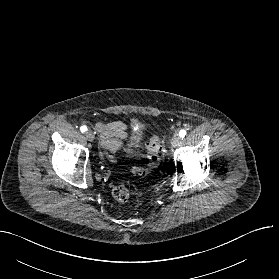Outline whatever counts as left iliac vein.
I'll list each match as a JSON object with an SVG mask.
<instances>
[{"label": "left iliac vein", "mask_w": 279, "mask_h": 279, "mask_svg": "<svg viewBox=\"0 0 279 279\" xmlns=\"http://www.w3.org/2000/svg\"><path fill=\"white\" fill-rule=\"evenodd\" d=\"M180 138L178 135H175L172 139H171V146L172 147H177L179 144Z\"/></svg>", "instance_id": "obj_1"}]
</instances>
